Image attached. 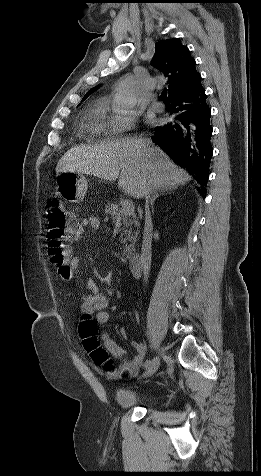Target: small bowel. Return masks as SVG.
<instances>
[{
	"mask_svg": "<svg viewBox=\"0 0 261 476\" xmlns=\"http://www.w3.org/2000/svg\"><path fill=\"white\" fill-rule=\"evenodd\" d=\"M101 225V220L99 217L91 216L83 218L77 226L74 237L79 238L83 235L87 228L94 230L99 229ZM69 267L71 270V275L77 273V270L80 265V259L78 256L73 255L69 260ZM85 287L88 289L89 294L81 297V313L83 316H91L98 327H103L109 321V313L107 308L110 305V298L103 293L95 281L89 279L85 282ZM120 335L123 338H127L128 334L125 328L120 329ZM101 340L103 343L104 349L113 355L114 357L121 360V365L118 368L111 367L101 368V365H94L107 377L109 378H118L122 374H135L144 364L146 349L145 346L137 341H132V346L135 349V354L133 357H128L127 352L118 345L106 332L101 333Z\"/></svg>",
	"mask_w": 261,
	"mask_h": 476,
	"instance_id": "small-bowel-1",
	"label": "small bowel"
}]
</instances>
